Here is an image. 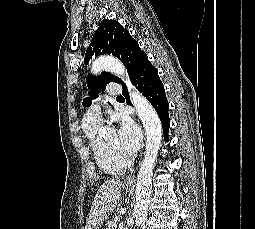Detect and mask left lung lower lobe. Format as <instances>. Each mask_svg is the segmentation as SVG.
Returning <instances> with one entry per match:
<instances>
[{"instance_id": "obj_1", "label": "left lung lower lobe", "mask_w": 255, "mask_h": 229, "mask_svg": "<svg viewBox=\"0 0 255 229\" xmlns=\"http://www.w3.org/2000/svg\"><path fill=\"white\" fill-rule=\"evenodd\" d=\"M132 84L146 97V99L155 108L163 126L165 141H168V130L170 127L169 103L167 101L164 85L162 84L157 69L148 60L144 54L133 73L130 76ZM123 95L126 103L131 105L127 87L123 84Z\"/></svg>"}]
</instances>
